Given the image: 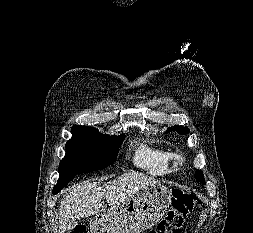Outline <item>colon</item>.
Segmentation results:
<instances>
[{
  "label": "colon",
  "mask_w": 253,
  "mask_h": 233,
  "mask_svg": "<svg viewBox=\"0 0 253 233\" xmlns=\"http://www.w3.org/2000/svg\"><path fill=\"white\" fill-rule=\"evenodd\" d=\"M201 204V199L182 189H174L171 196V205L165 217L148 233H181L190 213ZM69 233H87L83 224L71 227Z\"/></svg>",
  "instance_id": "1"
}]
</instances>
